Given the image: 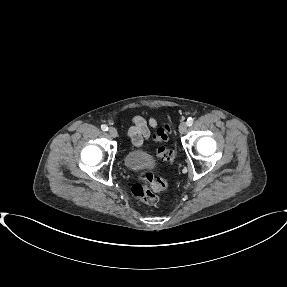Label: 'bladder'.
I'll list each match as a JSON object with an SVG mask.
<instances>
[{"mask_svg": "<svg viewBox=\"0 0 287 287\" xmlns=\"http://www.w3.org/2000/svg\"><path fill=\"white\" fill-rule=\"evenodd\" d=\"M123 162L125 167L132 172L141 173L155 166L152 156L142 149L128 151L123 157Z\"/></svg>", "mask_w": 287, "mask_h": 287, "instance_id": "31cf9c89", "label": "bladder"}]
</instances>
